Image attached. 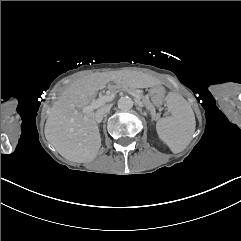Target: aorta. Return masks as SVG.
I'll use <instances>...</instances> for the list:
<instances>
[{
    "mask_svg": "<svg viewBox=\"0 0 241 241\" xmlns=\"http://www.w3.org/2000/svg\"><path fill=\"white\" fill-rule=\"evenodd\" d=\"M133 107V100L128 97H122L118 100V108L122 111H128Z\"/></svg>",
    "mask_w": 241,
    "mask_h": 241,
    "instance_id": "762f6f07",
    "label": "aorta"
}]
</instances>
